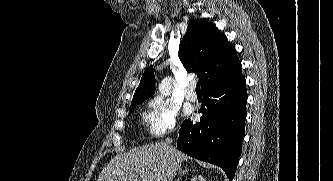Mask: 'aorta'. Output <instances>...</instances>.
<instances>
[{"instance_id": "obj_1", "label": "aorta", "mask_w": 333, "mask_h": 181, "mask_svg": "<svg viewBox=\"0 0 333 181\" xmlns=\"http://www.w3.org/2000/svg\"><path fill=\"white\" fill-rule=\"evenodd\" d=\"M171 85H172V78L166 77L164 78L158 86V90L161 95L168 96L171 93Z\"/></svg>"}]
</instances>
